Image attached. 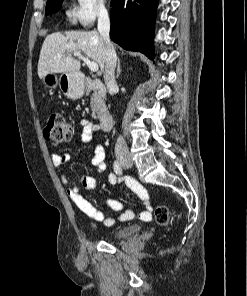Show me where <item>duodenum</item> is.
Listing matches in <instances>:
<instances>
[{
  "label": "duodenum",
  "mask_w": 247,
  "mask_h": 296,
  "mask_svg": "<svg viewBox=\"0 0 247 296\" xmlns=\"http://www.w3.org/2000/svg\"><path fill=\"white\" fill-rule=\"evenodd\" d=\"M86 84L88 91L92 93L95 98L100 99L105 96L106 87L102 81L89 79L87 80ZM99 121L101 128L107 131L108 129H110L113 123V116L108 111H101V113L99 114Z\"/></svg>",
  "instance_id": "obj_1"
}]
</instances>
